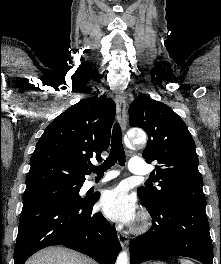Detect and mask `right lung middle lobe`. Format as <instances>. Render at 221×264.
Wrapping results in <instances>:
<instances>
[{"instance_id": "right-lung-middle-lobe-1", "label": "right lung middle lobe", "mask_w": 221, "mask_h": 264, "mask_svg": "<svg viewBox=\"0 0 221 264\" xmlns=\"http://www.w3.org/2000/svg\"><path fill=\"white\" fill-rule=\"evenodd\" d=\"M83 183L54 182L34 188L26 189L23 194V201L52 199L56 201L82 202L85 198L79 196Z\"/></svg>"}]
</instances>
